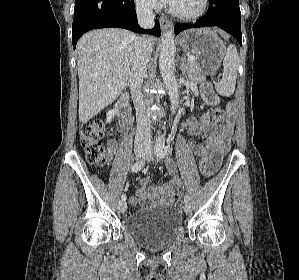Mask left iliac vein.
<instances>
[{"label":"left iliac vein","instance_id":"obj_1","mask_svg":"<svg viewBox=\"0 0 299 280\" xmlns=\"http://www.w3.org/2000/svg\"><path fill=\"white\" fill-rule=\"evenodd\" d=\"M144 158H145L146 160H148V161L153 160L151 149H148V150H147V152H146ZM184 212H185L186 214H189V213L191 212V205H190L189 203H185V205H184Z\"/></svg>","mask_w":299,"mask_h":280}]
</instances>
